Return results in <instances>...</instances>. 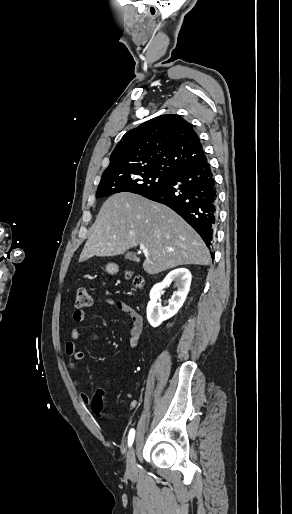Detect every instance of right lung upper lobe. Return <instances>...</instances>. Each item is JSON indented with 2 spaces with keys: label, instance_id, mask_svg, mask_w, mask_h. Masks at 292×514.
Instances as JSON below:
<instances>
[{
  "label": "right lung upper lobe",
  "instance_id": "1",
  "mask_svg": "<svg viewBox=\"0 0 292 514\" xmlns=\"http://www.w3.org/2000/svg\"><path fill=\"white\" fill-rule=\"evenodd\" d=\"M204 158L202 144L192 125L175 114L161 115L122 137L102 179L145 172L172 175Z\"/></svg>",
  "mask_w": 292,
  "mask_h": 514
}]
</instances>
